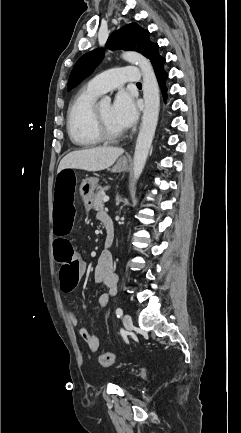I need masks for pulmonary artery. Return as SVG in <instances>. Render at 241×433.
Instances as JSON below:
<instances>
[{
	"label": "pulmonary artery",
	"instance_id": "obj_1",
	"mask_svg": "<svg viewBox=\"0 0 241 433\" xmlns=\"http://www.w3.org/2000/svg\"><path fill=\"white\" fill-rule=\"evenodd\" d=\"M141 70L137 66H121L98 74L90 79L86 88L98 95L118 89L124 84L140 82Z\"/></svg>",
	"mask_w": 241,
	"mask_h": 433
}]
</instances>
